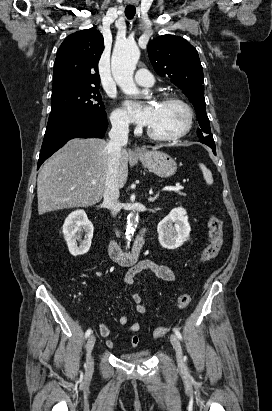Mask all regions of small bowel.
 I'll return each mask as SVG.
<instances>
[{"instance_id": "c3829d8e", "label": "small bowel", "mask_w": 272, "mask_h": 411, "mask_svg": "<svg viewBox=\"0 0 272 411\" xmlns=\"http://www.w3.org/2000/svg\"><path fill=\"white\" fill-rule=\"evenodd\" d=\"M143 271H150L152 272L157 278L168 281V282H174L176 281V274L174 271L171 269V267L163 262H158L152 259H144L136 264H134L132 267L128 269L126 274L122 277V282L132 289L131 292V298L133 302L135 303V309L137 313L141 315H145L148 313V307L144 303V298L142 295H140L138 292H136L134 289L136 288V280L135 277L139 273ZM129 319L126 315H121L118 319L119 324L121 325H126L128 323ZM141 329V324L139 322H134L130 325L129 331L134 333L130 339V346L132 348H135L138 346L140 342L139 336L136 334L139 330ZM98 330L99 333L102 337H109L111 334L110 328L102 323H98ZM106 346L108 348H114L115 343L114 341L108 339L106 341Z\"/></svg>"}]
</instances>
